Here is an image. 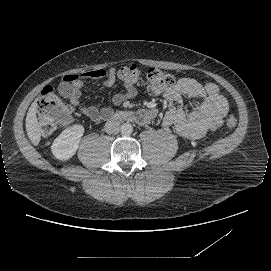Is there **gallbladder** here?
I'll use <instances>...</instances> for the list:
<instances>
[{"mask_svg": "<svg viewBox=\"0 0 271 271\" xmlns=\"http://www.w3.org/2000/svg\"><path fill=\"white\" fill-rule=\"evenodd\" d=\"M58 93L61 96H68L71 93V86L68 83H61L58 86Z\"/></svg>", "mask_w": 271, "mask_h": 271, "instance_id": "obj_1", "label": "gallbladder"}]
</instances>
